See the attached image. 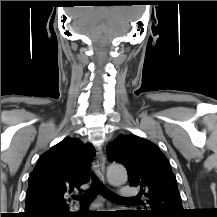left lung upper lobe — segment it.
I'll use <instances>...</instances> for the list:
<instances>
[{
  "label": "left lung upper lobe",
  "mask_w": 217,
  "mask_h": 217,
  "mask_svg": "<svg viewBox=\"0 0 217 217\" xmlns=\"http://www.w3.org/2000/svg\"><path fill=\"white\" fill-rule=\"evenodd\" d=\"M110 161L122 163L132 186H140L147 197L150 217H179L181 196L168 160L152 142L133 134L120 135L107 146Z\"/></svg>",
  "instance_id": "1"
}]
</instances>
